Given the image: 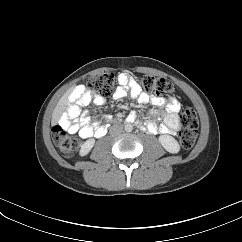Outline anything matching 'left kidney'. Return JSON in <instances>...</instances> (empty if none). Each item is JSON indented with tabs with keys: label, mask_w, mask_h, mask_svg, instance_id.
Instances as JSON below:
<instances>
[{
	"label": "left kidney",
	"mask_w": 242,
	"mask_h": 242,
	"mask_svg": "<svg viewBox=\"0 0 242 242\" xmlns=\"http://www.w3.org/2000/svg\"><path fill=\"white\" fill-rule=\"evenodd\" d=\"M159 142L169 153H178L180 151V145L177 140L170 135H161L159 137Z\"/></svg>",
	"instance_id": "obj_1"
}]
</instances>
